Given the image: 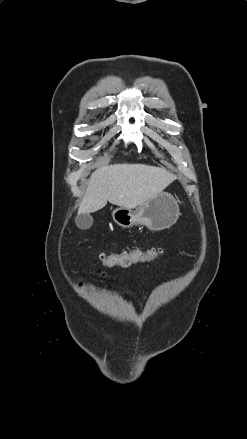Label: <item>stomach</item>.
I'll return each mask as SVG.
<instances>
[{
    "label": "stomach",
    "instance_id": "stomach-1",
    "mask_svg": "<svg viewBox=\"0 0 247 439\" xmlns=\"http://www.w3.org/2000/svg\"><path fill=\"white\" fill-rule=\"evenodd\" d=\"M179 214L176 198L168 192H161L141 204L136 210L125 207L113 210L112 218L123 228L143 225L151 231H160L172 226Z\"/></svg>",
    "mask_w": 247,
    "mask_h": 439
}]
</instances>
